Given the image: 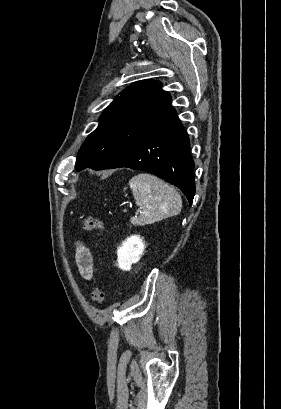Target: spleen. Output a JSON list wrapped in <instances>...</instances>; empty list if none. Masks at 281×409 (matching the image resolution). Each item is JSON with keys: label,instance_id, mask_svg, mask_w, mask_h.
<instances>
[{"label": "spleen", "instance_id": "obj_1", "mask_svg": "<svg viewBox=\"0 0 281 409\" xmlns=\"http://www.w3.org/2000/svg\"><path fill=\"white\" fill-rule=\"evenodd\" d=\"M129 186L137 207L144 210L139 217H132L133 225H151L181 213L182 198L179 192L161 178L141 172L129 180Z\"/></svg>", "mask_w": 281, "mask_h": 409}]
</instances>
